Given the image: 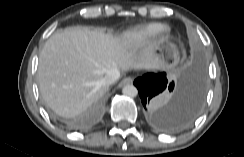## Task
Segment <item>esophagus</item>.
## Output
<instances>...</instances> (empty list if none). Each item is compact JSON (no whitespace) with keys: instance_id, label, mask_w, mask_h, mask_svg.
Instances as JSON below:
<instances>
[{"instance_id":"34e87169","label":"esophagus","mask_w":244,"mask_h":157,"mask_svg":"<svg viewBox=\"0 0 244 157\" xmlns=\"http://www.w3.org/2000/svg\"><path fill=\"white\" fill-rule=\"evenodd\" d=\"M132 82H133L132 77H125L119 82L118 87L121 88L127 84H131Z\"/></svg>"}]
</instances>
